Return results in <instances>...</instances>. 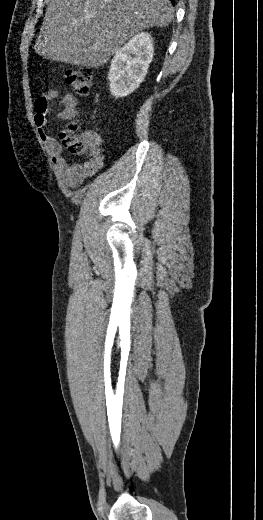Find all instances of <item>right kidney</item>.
Masks as SVG:
<instances>
[{
  "label": "right kidney",
  "mask_w": 263,
  "mask_h": 520,
  "mask_svg": "<svg viewBox=\"0 0 263 520\" xmlns=\"http://www.w3.org/2000/svg\"><path fill=\"white\" fill-rule=\"evenodd\" d=\"M153 58V43L149 33L132 37L114 55L108 79L111 95L120 98L131 94L147 74Z\"/></svg>",
  "instance_id": "1"
}]
</instances>
